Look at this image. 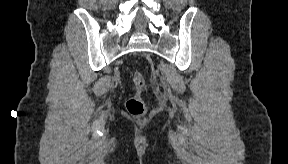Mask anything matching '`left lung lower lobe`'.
I'll return each instance as SVG.
<instances>
[{"instance_id": "0a47b994", "label": "left lung lower lobe", "mask_w": 288, "mask_h": 164, "mask_svg": "<svg viewBox=\"0 0 288 164\" xmlns=\"http://www.w3.org/2000/svg\"><path fill=\"white\" fill-rule=\"evenodd\" d=\"M258 77H259L258 91L255 94L259 97V99H261L262 98L261 91H262V89L264 87L265 80H264V77L262 75H260V74H258Z\"/></svg>"}]
</instances>
